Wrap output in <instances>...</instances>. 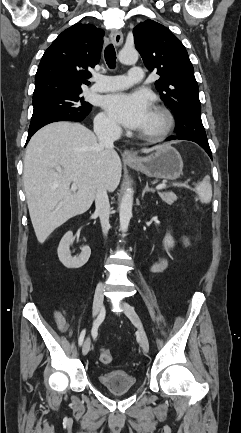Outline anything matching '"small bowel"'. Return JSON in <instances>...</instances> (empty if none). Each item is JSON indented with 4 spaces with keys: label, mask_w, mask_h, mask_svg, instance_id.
Returning a JSON list of instances; mask_svg holds the SVG:
<instances>
[{
    "label": "small bowel",
    "mask_w": 241,
    "mask_h": 433,
    "mask_svg": "<svg viewBox=\"0 0 241 433\" xmlns=\"http://www.w3.org/2000/svg\"><path fill=\"white\" fill-rule=\"evenodd\" d=\"M182 244H183L184 248H188L190 246L189 238L184 236L182 239ZM166 267H167V261L165 259H162V260L153 264L152 271L154 273H160V272L164 271L166 269ZM54 319H55V322H56V324L60 330H66L67 329L64 317L62 316V314L59 311L54 312Z\"/></svg>",
    "instance_id": "1"
}]
</instances>
